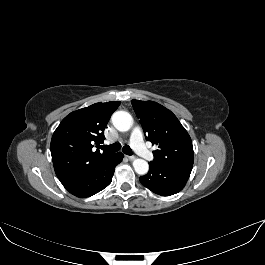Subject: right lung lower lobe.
<instances>
[{
	"instance_id": "right-lung-lower-lobe-1",
	"label": "right lung lower lobe",
	"mask_w": 265,
	"mask_h": 265,
	"mask_svg": "<svg viewBox=\"0 0 265 265\" xmlns=\"http://www.w3.org/2000/svg\"><path fill=\"white\" fill-rule=\"evenodd\" d=\"M122 159V153L112 154L104 158L84 174L63 185L67 191L77 197L84 198L92 196L111 183L115 167Z\"/></svg>"
}]
</instances>
